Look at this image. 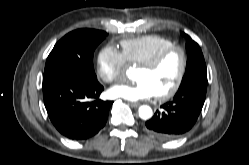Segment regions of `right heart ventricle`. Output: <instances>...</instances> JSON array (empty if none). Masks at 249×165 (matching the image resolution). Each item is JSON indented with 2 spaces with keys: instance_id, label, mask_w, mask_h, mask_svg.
Returning a JSON list of instances; mask_svg holds the SVG:
<instances>
[{
  "instance_id": "1",
  "label": "right heart ventricle",
  "mask_w": 249,
  "mask_h": 165,
  "mask_svg": "<svg viewBox=\"0 0 249 165\" xmlns=\"http://www.w3.org/2000/svg\"><path fill=\"white\" fill-rule=\"evenodd\" d=\"M174 45L173 41L160 35L138 36L120 42L122 54L129 64L140 65L151 60L163 49Z\"/></svg>"
}]
</instances>
